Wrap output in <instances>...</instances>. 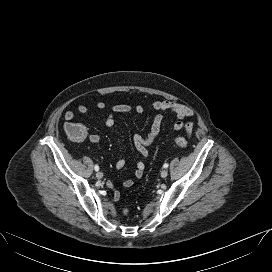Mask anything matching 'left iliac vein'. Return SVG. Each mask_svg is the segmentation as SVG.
<instances>
[{
	"label": "left iliac vein",
	"mask_w": 272,
	"mask_h": 272,
	"mask_svg": "<svg viewBox=\"0 0 272 272\" xmlns=\"http://www.w3.org/2000/svg\"><path fill=\"white\" fill-rule=\"evenodd\" d=\"M167 175H168V171H167V170H162V171H161V177H162V178L167 177Z\"/></svg>",
	"instance_id": "4c4485c4"
}]
</instances>
